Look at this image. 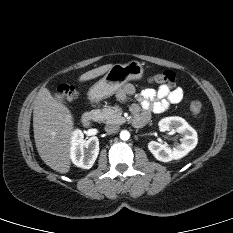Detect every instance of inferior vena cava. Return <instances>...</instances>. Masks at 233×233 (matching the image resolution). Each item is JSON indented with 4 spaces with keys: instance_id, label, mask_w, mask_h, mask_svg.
Segmentation results:
<instances>
[{
    "instance_id": "1",
    "label": "inferior vena cava",
    "mask_w": 233,
    "mask_h": 233,
    "mask_svg": "<svg viewBox=\"0 0 233 233\" xmlns=\"http://www.w3.org/2000/svg\"><path fill=\"white\" fill-rule=\"evenodd\" d=\"M119 128V125L111 123L105 126V131L108 133H116L119 130Z\"/></svg>"
}]
</instances>
